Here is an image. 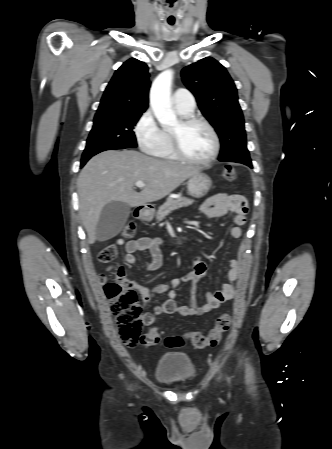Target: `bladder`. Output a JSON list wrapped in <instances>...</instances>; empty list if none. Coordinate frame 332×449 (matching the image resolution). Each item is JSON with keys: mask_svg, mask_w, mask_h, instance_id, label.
<instances>
[{"mask_svg": "<svg viewBox=\"0 0 332 449\" xmlns=\"http://www.w3.org/2000/svg\"><path fill=\"white\" fill-rule=\"evenodd\" d=\"M196 376V366L185 352H167L159 357L155 369V378L164 384H182Z\"/></svg>", "mask_w": 332, "mask_h": 449, "instance_id": "bladder-1", "label": "bladder"}]
</instances>
